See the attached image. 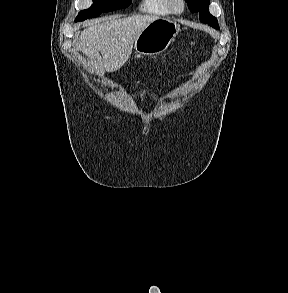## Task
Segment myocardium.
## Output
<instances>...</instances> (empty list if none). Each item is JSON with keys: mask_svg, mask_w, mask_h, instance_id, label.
Masks as SVG:
<instances>
[{"mask_svg": "<svg viewBox=\"0 0 288 293\" xmlns=\"http://www.w3.org/2000/svg\"><path fill=\"white\" fill-rule=\"evenodd\" d=\"M167 6L172 13L179 14L185 8V0H166Z\"/></svg>", "mask_w": 288, "mask_h": 293, "instance_id": "myocardium-1", "label": "myocardium"}]
</instances>
